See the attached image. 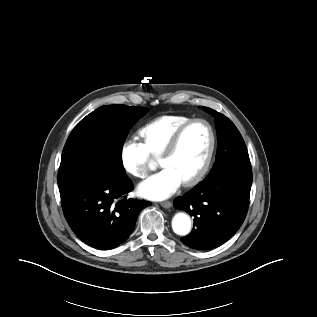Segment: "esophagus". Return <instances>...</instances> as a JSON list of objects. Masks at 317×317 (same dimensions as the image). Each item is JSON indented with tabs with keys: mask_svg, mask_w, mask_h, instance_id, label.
I'll list each match as a JSON object with an SVG mask.
<instances>
[{
	"mask_svg": "<svg viewBox=\"0 0 317 317\" xmlns=\"http://www.w3.org/2000/svg\"><path fill=\"white\" fill-rule=\"evenodd\" d=\"M160 205H161L163 208L169 209V208H171V206H172V202H171V201H164V202H161Z\"/></svg>",
	"mask_w": 317,
	"mask_h": 317,
	"instance_id": "34e87169",
	"label": "esophagus"
}]
</instances>
